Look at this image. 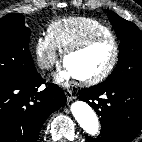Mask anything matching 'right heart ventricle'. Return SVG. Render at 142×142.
Wrapping results in <instances>:
<instances>
[{"mask_svg":"<svg viewBox=\"0 0 142 142\" xmlns=\"http://www.w3.org/2000/svg\"><path fill=\"white\" fill-rule=\"evenodd\" d=\"M93 34L111 35V31L100 21L84 16L57 19L47 28V36L60 52Z\"/></svg>","mask_w":142,"mask_h":142,"instance_id":"obj_1","label":"right heart ventricle"}]
</instances>
